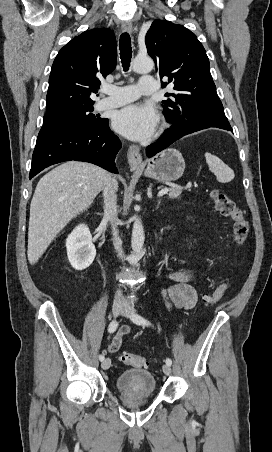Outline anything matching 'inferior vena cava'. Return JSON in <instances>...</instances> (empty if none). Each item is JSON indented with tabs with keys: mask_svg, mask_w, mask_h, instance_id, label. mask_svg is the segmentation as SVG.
<instances>
[{
	"mask_svg": "<svg viewBox=\"0 0 272 452\" xmlns=\"http://www.w3.org/2000/svg\"><path fill=\"white\" fill-rule=\"evenodd\" d=\"M116 182L110 180L109 183L103 189L104 198V218L111 222L112 225V235H113V245L118 253V256L123 258L122 241L119 237V232L117 229L118 225V214H117V197H116ZM115 298L120 300L122 298L121 290L116 292Z\"/></svg>",
	"mask_w": 272,
	"mask_h": 452,
	"instance_id": "1",
	"label": "inferior vena cava"
}]
</instances>
